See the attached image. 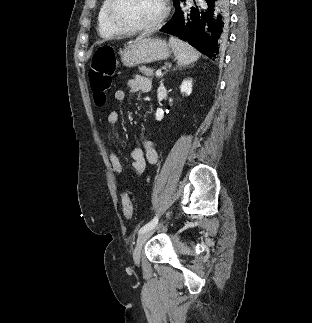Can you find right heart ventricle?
I'll return each mask as SVG.
<instances>
[{"instance_id": "right-heart-ventricle-1", "label": "right heart ventricle", "mask_w": 312, "mask_h": 323, "mask_svg": "<svg viewBox=\"0 0 312 323\" xmlns=\"http://www.w3.org/2000/svg\"><path fill=\"white\" fill-rule=\"evenodd\" d=\"M93 20L96 23V33H114L115 29H119V22H113L111 18V5L103 1L101 5H96L93 13Z\"/></svg>"}]
</instances>
